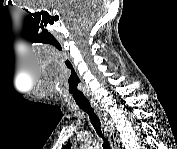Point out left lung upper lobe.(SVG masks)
Wrapping results in <instances>:
<instances>
[{
  "instance_id": "obj_1",
  "label": "left lung upper lobe",
  "mask_w": 177,
  "mask_h": 149,
  "mask_svg": "<svg viewBox=\"0 0 177 149\" xmlns=\"http://www.w3.org/2000/svg\"><path fill=\"white\" fill-rule=\"evenodd\" d=\"M71 147V144L70 143H68L67 145H65V147L64 148H70Z\"/></svg>"
}]
</instances>
